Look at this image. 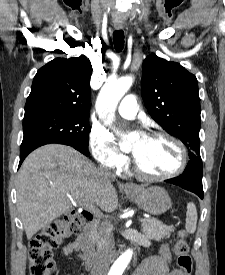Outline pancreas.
I'll use <instances>...</instances> for the list:
<instances>
[{
  "instance_id": "1",
  "label": "pancreas",
  "mask_w": 225,
  "mask_h": 275,
  "mask_svg": "<svg viewBox=\"0 0 225 275\" xmlns=\"http://www.w3.org/2000/svg\"><path fill=\"white\" fill-rule=\"evenodd\" d=\"M174 230L173 226H167L156 219H146L142 224V231L149 240L161 241L169 238Z\"/></svg>"
}]
</instances>
